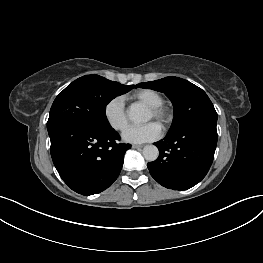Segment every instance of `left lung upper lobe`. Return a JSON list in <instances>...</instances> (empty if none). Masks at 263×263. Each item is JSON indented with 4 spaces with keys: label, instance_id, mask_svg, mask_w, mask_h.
Wrapping results in <instances>:
<instances>
[{
    "label": "left lung upper lobe",
    "instance_id": "5c2ea615",
    "mask_svg": "<svg viewBox=\"0 0 263 263\" xmlns=\"http://www.w3.org/2000/svg\"><path fill=\"white\" fill-rule=\"evenodd\" d=\"M136 87L163 92L170 98L174 106V119L168 133L194 124L217 122V113L206 93L187 80L166 77L140 83Z\"/></svg>",
    "mask_w": 263,
    "mask_h": 263
}]
</instances>
